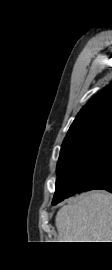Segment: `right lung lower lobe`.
Returning a JSON list of instances; mask_svg holds the SVG:
<instances>
[{"instance_id":"right-lung-lower-lobe-1","label":"right lung lower lobe","mask_w":112,"mask_h":270,"mask_svg":"<svg viewBox=\"0 0 112 270\" xmlns=\"http://www.w3.org/2000/svg\"><path fill=\"white\" fill-rule=\"evenodd\" d=\"M81 185L83 191L104 189L112 193V143L101 159L84 172Z\"/></svg>"}]
</instances>
